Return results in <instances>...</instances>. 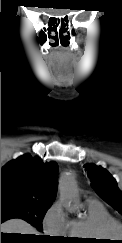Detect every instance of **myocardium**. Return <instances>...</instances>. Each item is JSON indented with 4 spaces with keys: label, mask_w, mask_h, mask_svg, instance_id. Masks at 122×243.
<instances>
[{
    "label": "myocardium",
    "mask_w": 122,
    "mask_h": 243,
    "mask_svg": "<svg viewBox=\"0 0 122 243\" xmlns=\"http://www.w3.org/2000/svg\"><path fill=\"white\" fill-rule=\"evenodd\" d=\"M103 232L107 238L122 235V224L115 220L110 221L104 225Z\"/></svg>",
    "instance_id": "obj_1"
}]
</instances>
